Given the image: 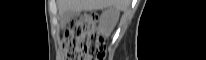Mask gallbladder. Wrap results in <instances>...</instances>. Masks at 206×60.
Instances as JSON below:
<instances>
[{"mask_svg": "<svg viewBox=\"0 0 206 60\" xmlns=\"http://www.w3.org/2000/svg\"><path fill=\"white\" fill-rule=\"evenodd\" d=\"M79 11H66L61 15V23L66 24L70 19L79 16Z\"/></svg>", "mask_w": 206, "mask_h": 60, "instance_id": "1", "label": "gallbladder"}]
</instances>
